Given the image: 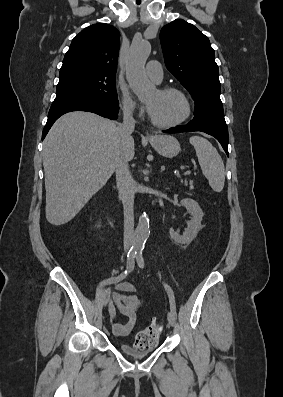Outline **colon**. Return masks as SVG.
I'll use <instances>...</instances> for the list:
<instances>
[{
  "label": "colon",
  "instance_id": "colon-1",
  "mask_svg": "<svg viewBox=\"0 0 283 397\" xmlns=\"http://www.w3.org/2000/svg\"><path fill=\"white\" fill-rule=\"evenodd\" d=\"M162 327L158 324H152L149 327L141 330L136 335L135 345L138 348H148L157 342L161 333Z\"/></svg>",
  "mask_w": 283,
  "mask_h": 397
}]
</instances>
